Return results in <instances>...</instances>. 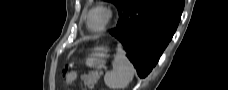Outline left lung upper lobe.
Returning a JSON list of instances; mask_svg holds the SVG:
<instances>
[{
    "mask_svg": "<svg viewBox=\"0 0 228 90\" xmlns=\"http://www.w3.org/2000/svg\"><path fill=\"white\" fill-rule=\"evenodd\" d=\"M107 1L114 3L117 6L120 14L130 0H107Z\"/></svg>",
    "mask_w": 228,
    "mask_h": 90,
    "instance_id": "left-lung-upper-lobe-1",
    "label": "left lung upper lobe"
}]
</instances>
